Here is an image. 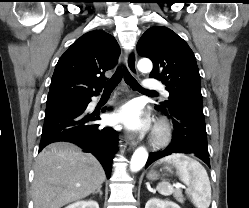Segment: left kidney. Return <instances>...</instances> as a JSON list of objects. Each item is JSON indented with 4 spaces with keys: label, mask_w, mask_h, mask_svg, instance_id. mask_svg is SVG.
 <instances>
[{
    "label": "left kidney",
    "mask_w": 249,
    "mask_h": 208,
    "mask_svg": "<svg viewBox=\"0 0 249 208\" xmlns=\"http://www.w3.org/2000/svg\"><path fill=\"white\" fill-rule=\"evenodd\" d=\"M145 208H181V207L172 201H163L157 198H152L147 201Z\"/></svg>",
    "instance_id": "5707ae66"
}]
</instances>
